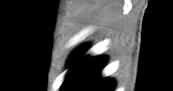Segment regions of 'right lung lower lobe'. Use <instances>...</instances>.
<instances>
[{
    "label": "right lung lower lobe",
    "instance_id": "98d812e1",
    "mask_svg": "<svg viewBox=\"0 0 173 91\" xmlns=\"http://www.w3.org/2000/svg\"><path fill=\"white\" fill-rule=\"evenodd\" d=\"M84 51L85 47L80 48L73 55L70 64H75L63 83V91H111L114 82L99 77L106 60L102 57L78 60Z\"/></svg>",
    "mask_w": 173,
    "mask_h": 91
}]
</instances>
